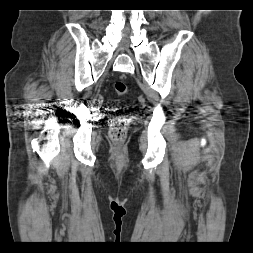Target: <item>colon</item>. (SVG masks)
<instances>
[{"label":"colon","instance_id":"colon-1","mask_svg":"<svg viewBox=\"0 0 253 253\" xmlns=\"http://www.w3.org/2000/svg\"><path fill=\"white\" fill-rule=\"evenodd\" d=\"M114 89L118 95H125L128 90L126 83L121 80L114 83ZM130 121L128 113H121L112 119L109 136L114 142H122L126 138Z\"/></svg>","mask_w":253,"mask_h":253}]
</instances>
